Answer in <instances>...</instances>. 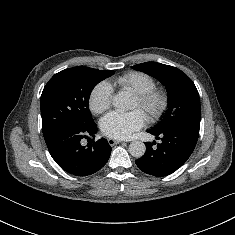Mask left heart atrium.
<instances>
[{
  "instance_id": "left-heart-atrium-1",
  "label": "left heart atrium",
  "mask_w": 235,
  "mask_h": 235,
  "mask_svg": "<svg viewBox=\"0 0 235 235\" xmlns=\"http://www.w3.org/2000/svg\"><path fill=\"white\" fill-rule=\"evenodd\" d=\"M147 117L141 109L130 112L113 111L105 115L100 122L102 132L111 138L127 139L146 123Z\"/></svg>"
}]
</instances>
